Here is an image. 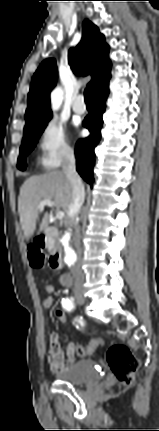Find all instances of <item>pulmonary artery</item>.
<instances>
[{
    "label": "pulmonary artery",
    "mask_w": 159,
    "mask_h": 431,
    "mask_svg": "<svg viewBox=\"0 0 159 431\" xmlns=\"http://www.w3.org/2000/svg\"><path fill=\"white\" fill-rule=\"evenodd\" d=\"M72 107L73 111L77 114H84L86 112V106L82 95L76 97Z\"/></svg>",
    "instance_id": "e3ab8cb5"
}]
</instances>
